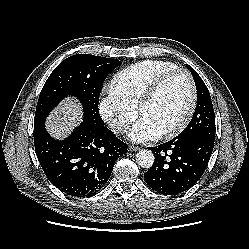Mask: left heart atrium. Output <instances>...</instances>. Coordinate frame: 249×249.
Instances as JSON below:
<instances>
[{
    "instance_id": "39dd6f15",
    "label": "left heart atrium",
    "mask_w": 249,
    "mask_h": 249,
    "mask_svg": "<svg viewBox=\"0 0 249 249\" xmlns=\"http://www.w3.org/2000/svg\"><path fill=\"white\" fill-rule=\"evenodd\" d=\"M162 135L160 128L146 117H141L130 130L128 137L134 142L155 140Z\"/></svg>"
}]
</instances>
